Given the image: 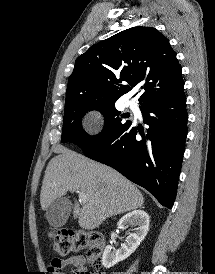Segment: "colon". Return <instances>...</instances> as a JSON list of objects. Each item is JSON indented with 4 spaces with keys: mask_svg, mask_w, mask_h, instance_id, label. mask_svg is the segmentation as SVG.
Instances as JSON below:
<instances>
[{
    "mask_svg": "<svg viewBox=\"0 0 215 274\" xmlns=\"http://www.w3.org/2000/svg\"><path fill=\"white\" fill-rule=\"evenodd\" d=\"M56 252L61 256L86 251L87 260L96 269L102 265V254L105 246L104 236L98 231L55 230L50 232ZM86 274H96L86 272Z\"/></svg>",
    "mask_w": 215,
    "mask_h": 274,
    "instance_id": "1",
    "label": "colon"
}]
</instances>
